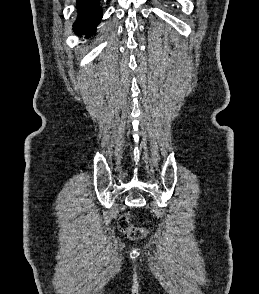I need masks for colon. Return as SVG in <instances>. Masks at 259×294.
<instances>
[{"label":"colon","instance_id":"obj_1","mask_svg":"<svg viewBox=\"0 0 259 294\" xmlns=\"http://www.w3.org/2000/svg\"><path fill=\"white\" fill-rule=\"evenodd\" d=\"M119 229L126 233L131 239H140L142 238L146 230L139 226H133L130 222V217L128 215L123 216L119 221Z\"/></svg>","mask_w":259,"mask_h":294}]
</instances>
